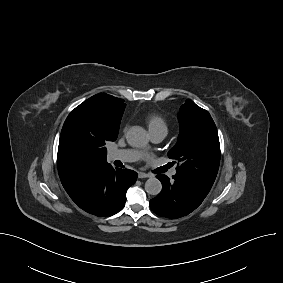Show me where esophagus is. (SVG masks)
Here are the masks:
<instances>
[{
	"label": "esophagus",
	"mask_w": 283,
	"mask_h": 283,
	"mask_svg": "<svg viewBox=\"0 0 283 283\" xmlns=\"http://www.w3.org/2000/svg\"><path fill=\"white\" fill-rule=\"evenodd\" d=\"M149 177H151V175H150V174H147V173L140 172V173L138 174V178H140V179L149 178Z\"/></svg>",
	"instance_id": "obj_1"
}]
</instances>
